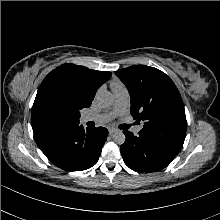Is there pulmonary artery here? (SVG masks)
<instances>
[{
    "mask_svg": "<svg viewBox=\"0 0 220 220\" xmlns=\"http://www.w3.org/2000/svg\"><path fill=\"white\" fill-rule=\"evenodd\" d=\"M112 93L114 97V113L123 112L128 106V91L124 85H119L112 88ZM112 114H97V115H85L81 118L82 122L94 121L97 123H104L109 121ZM141 130L140 126L134 128V132L138 133Z\"/></svg>",
    "mask_w": 220,
    "mask_h": 220,
    "instance_id": "pulmonary-artery-1",
    "label": "pulmonary artery"
}]
</instances>
